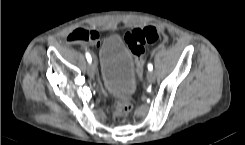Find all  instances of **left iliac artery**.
<instances>
[{
	"label": "left iliac artery",
	"mask_w": 245,
	"mask_h": 145,
	"mask_svg": "<svg viewBox=\"0 0 245 145\" xmlns=\"http://www.w3.org/2000/svg\"><path fill=\"white\" fill-rule=\"evenodd\" d=\"M148 70L152 71L153 70V65L151 63L148 64Z\"/></svg>",
	"instance_id": "left-iliac-artery-1"
}]
</instances>
